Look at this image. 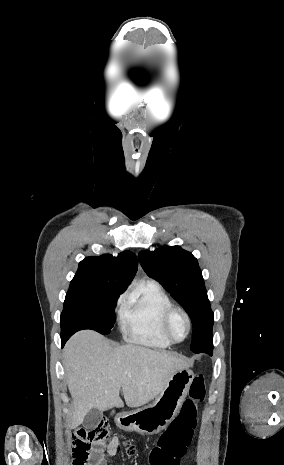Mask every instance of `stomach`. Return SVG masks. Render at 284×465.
I'll return each instance as SVG.
<instances>
[{
  "mask_svg": "<svg viewBox=\"0 0 284 465\" xmlns=\"http://www.w3.org/2000/svg\"><path fill=\"white\" fill-rule=\"evenodd\" d=\"M193 377L194 373L190 369L177 371L170 377L152 405L116 415L117 427L122 431H128V433H132V431L145 433V435L160 433L180 411L182 403L188 395Z\"/></svg>",
  "mask_w": 284,
  "mask_h": 465,
  "instance_id": "obj_1",
  "label": "stomach"
}]
</instances>
